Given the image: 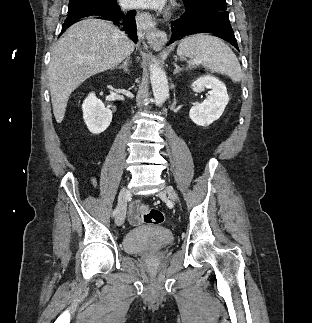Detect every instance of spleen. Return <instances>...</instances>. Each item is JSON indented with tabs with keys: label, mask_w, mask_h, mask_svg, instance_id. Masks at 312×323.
Listing matches in <instances>:
<instances>
[{
	"label": "spleen",
	"mask_w": 312,
	"mask_h": 323,
	"mask_svg": "<svg viewBox=\"0 0 312 323\" xmlns=\"http://www.w3.org/2000/svg\"><path fill=\"white\" fill-rule=\"evenodd\" d=\"M177 54L181 58L183 56L191 58L188 62L189 66L202 64L211 72L226 74L233 82H240L242 78L240 64L235 54L223 40L216 36H208V34L187 36L180 42Z\"/></svg>",
	"instance_id": "3e777b00"
}]
</instances>
